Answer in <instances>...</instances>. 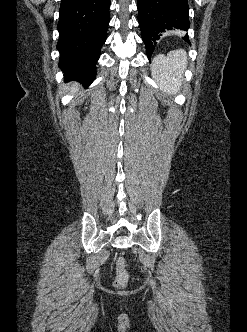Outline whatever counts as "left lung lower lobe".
<instances>
[{"label":"left lung lower lobe","mask_w":247,"mask_h":332,"mask_svg":"<svg viewBox=\"0 0 247 332\" xmlns=\"http://www.w3.org/2000/svg\"><path fill=\"white\" fill-rule=\"evenodd\" d=\"M138 22L147 56L154 52L157 41L166 30H188L189 7L187 0H137ZM183 39L189 42L188 36Z\"/></svg>","instance_id":"obj_1"}]
</instances>
